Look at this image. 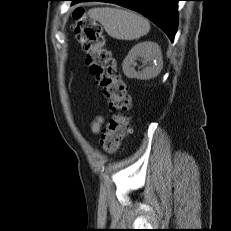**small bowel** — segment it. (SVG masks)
I'll return each mask as SVG.
<instances>
[{
    "label": "small bowel",
    "instance_id": "obj_1",
    "mask_svg": "<svg viewBox=\"0 0 231 231\" xmlns=\"http://www.w3.org/2000/svg\"><path fill=\"white\" fill-rule=\"evenodd\" d=\"M103 122H104L103 117L99 116L95 118L93 122L91 123V131L95 134L100 133Z\"/></svg>",
    "mask_w": 231,
    "mask_h": 231
}]
</instances>
